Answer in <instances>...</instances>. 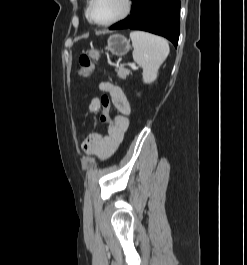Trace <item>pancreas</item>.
Listing matches in <instances>:
<instances>
[{
	"instance_id": "1",
	"label": "pancreas",
	"mask_w": 247,
	"mask_h": 265,
	"mask_svg": "<svg viewBox=\"0 0 247 265\" xmlns=\"http://www.w3.org/2000/svg\"><path fill=\"white\" fill-rule=\"evenodd\" d=\"M116 72H117V76L120 78V79H123L125 80L126 77L130 74V70L124 68L123 66H120L116 69Z\"/></svg>"
}]
</instances>
